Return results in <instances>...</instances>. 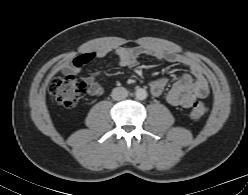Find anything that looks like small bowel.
Listing matches in <instances>:
<instances>
[{
	"label": "small bowel",
	"instance_id": "obj_1",
	"mask_svg": "<svg viewBox=\"0 0 248 195\" xmlns=\"http://www.w3.org/2000/svg\"><path fill=\"white\" fill-rule=\"evenodd\" d=\"M110 53H113L117 57L120 66L129 68L136 67L139 64V57L142 55L189 66L190 73L181 75L167 94V101L172 106L190 108L196 99L206 98L209 95L208 82L203 68L198 63L182 55L155 47H118L110 50H98L77 57L71 64L64 66L63 73H78L89 60L104 58ZM100 77V73H90L83 78L84 83L87 85L88 92L92 96H101L104 93V87L100 82ZM166 84L167 78L165 77L151 80L150 91L152 95L156 97L160 96Z\"/></svg>",
	"mask_w": 248,
	"mask_h": 195
}]
</instances>
